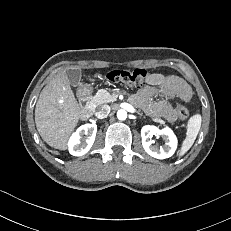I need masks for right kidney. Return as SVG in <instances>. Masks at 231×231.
I'll return each instance as SVG.
<instances>
[{"instance_id": "right-kidney-1", "label": "right kidney", "mask_w": 231, "mask_h": 231, "mask_svg": "<svg viewBox=\"0 0 231 231\" xmlns=\"http://www.w3.org/2000/svg\"><path fill=\"white\" fill-rule=\"evenodd\" d=\"M97 132L96 124H85L77 129L70 137L68 147L73 156H82L92 147ZM81 134H85L86 139L81 141Z\"/></svg>"}]
</instances>
